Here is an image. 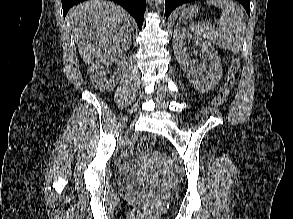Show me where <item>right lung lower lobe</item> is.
<instances>
[{"mask_svg":"<svg viewBox=\"0 0 293 219\" xmlns=\"http://www.w3.org/2000/svg\"><path fill=\"white\" fill-rule=\"evenodd\" d=\"M85 0H62L63 16L73 6ZM125 8L136 20L138 27L141 28L143 16L146 10V0H111Z\"/></svg>","mask_w":293,"mask_h":219,"instance_id":"right-lung-lower-lobe-1","label":"right lung lower lobe"}]
</instances>
